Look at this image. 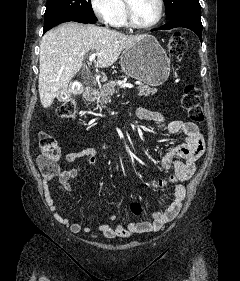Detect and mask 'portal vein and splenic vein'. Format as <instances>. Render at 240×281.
Wrapping results in <instances>:
<instances>
[{"mask_svg":"<svg viewBox=\"0 0 240 281\" xmlns=\"http://www.w3.org/2000/svg\"><path fill=\"white\" fill-rule=\"evenodd\" d=\"M100 55L99 53H93L89 56V61L93 62L96 58V56ZM122 87H128V88H132L133 86L131 84H123Z\"/></svg>","mask_w":240,"mask_h":281,"instance_id":"18ae733b","label":"portal vein and splenic vein"}]
</instances>
